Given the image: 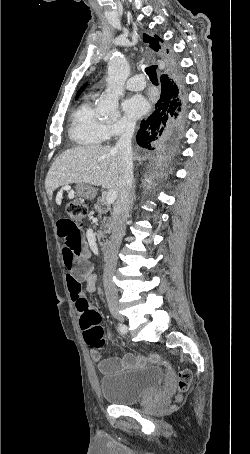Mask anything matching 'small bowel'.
<instances>
[{"mask_svg": "<svg viewBox=\"0 0 250 454\" xmlns=\"http://www.w3.org/2000/svg\"><path fill=\"white\" fill-rule=\"evenodd\" d=\"M58 234L62 241V256L66 272V281L72 302L79 315L87 309L93 308L85 292L91 293L96 288V274L89 260L88 244L78 226L68 219H60L57 223ZM91 356L97 363L100 372L112 373L122 368L135 365L137 361L132 356L123 359H103L98 350H92ZM148 361H157L155 354L147 357Z\"/></svg>", "mask_w": 250, "mask_h": 454, "instance_id": "1", "label": "small bowel"}]
</instances>
